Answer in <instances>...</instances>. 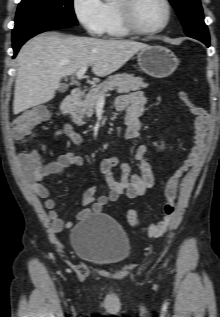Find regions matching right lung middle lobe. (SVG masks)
<instances>
[{
  "instance_id": "obj_1",
  "label": "right lung middle lobe",
  "mask_w": 220,
  "mask_h": 317,
  "mask_svg": "<svg viewBox=\"0 0 220 317\" xmlns=\"http://www.w3.org/2000/svg\"><path fill=\"white\" fill-rule=\"evenodd\" d=\"M47 22L78 25L73 0H22L16 13L13 35L33 25Z\"/></svg>"
}]
</instances>
